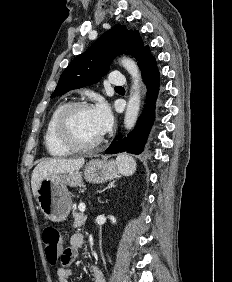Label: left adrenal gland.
<instances>
[{"instance_id":"left-adrenal-gland-1","label":"left adrenal gland","mask_w":232,"mask_h":282,"mask_svg":"<svg viewBox=\"0 0 232 282\" xmlns=\"http://www.w3.org/2000/svg\"><path fill=\"white\" fill-rule=\"evenodd\" d=\"M113 187H115V181L110 182L106 188L100 191V193L106 191L107 189L113 188Z\"/></svg>"}]
</instances>
